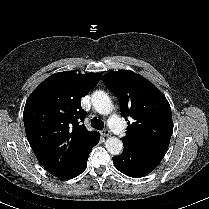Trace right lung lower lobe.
<instances>
[{
    "instance_id": "1",
    "label": "right lung lower lobe",
    "mask_w": 209,
    "mask_h": 209,
    "mask_svg": "<svg viewBox=\"0 0 209 209\" xmlns=\"http://www.w3.org/2000/svg\"><path fill=\"white\" fill-rule=\"evenodd\" d=\"M98 142H99V135L97 134L85 146V148L82 150V152L77 157V159L67 169H65L56 177L60 179H70L81 174L87 167V160H88L89 152L91 151L93 146L98 144Z\"/></svg>"
}]
</instances>
